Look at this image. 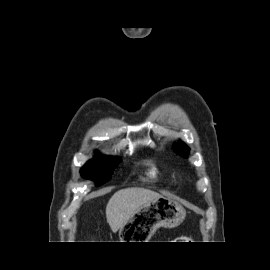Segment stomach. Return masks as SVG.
I'll use <instances>...</instances> for the list:
<instances>
[{"mask_svg":"<svg viewBox=\"0 0 270 270\" xmlns=\"http://www.w3.org/2000/svg\"><path fill=\"white\" fill-rule=\"evenodd\" d=\"M186 217V210L177 201L160 197L144 204L119 229L120 242H148L160 228L177 227Z\"/></svg>","mask_w":270,"mask_h":270,"instance_id":"stomach-1","label":"stomach"}]
</instances>
